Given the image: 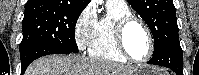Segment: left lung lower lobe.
I'll return each instance as SVG.
<instances>
[{
    "mask_svg": "<svg viewBox=\"0 0 199 75\" xmlns=\"http://www.w3.org/2000/svg\"><path fill=\"white\" fill-rule=\"evenodd\" d=\"M147 63L165 66L172 69L177 75H183V53L180 43L153 56Z\"/></svg>",
    "mask_w": 199,
    "mask_h": 75,
    "instance_id": "1",
    "label": "left lung lower lobe"
}]
</instances>
